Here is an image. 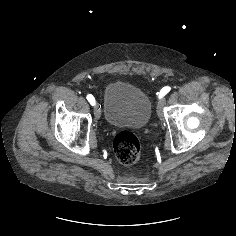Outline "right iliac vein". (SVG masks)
Returning a JSON list of instances; mask_svg holds the SVG:
<instances>
[{
	"label": "right iliac vein",
	"instance_id": "63e3f726",
	"mask_svg": "<svg viewBox=\"0 0 236 236\" xmlns=\"http://www.w3.org/2000/svg\"><path fill=\"white\" fill-rule=\"evenodd\" d=\"M94 115L97 119L100 118V116H101V111H100V108L98 106L95 107Z\"/></svg>",
	"mask_w": 236,
	"mask_h": 236
}]
</instances>
